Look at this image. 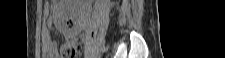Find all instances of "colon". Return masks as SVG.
<instances>
[{"label":"colon","instance_id":"5ec220e1","mask_svg":"<svg viewBox=\"0 0 225 58\" xmlns=\"http://www.w3.org/2000/svg\"><path fill=\"white\" fill-rule=\"evenodd\" d=\"M81 45L79 43H70L63 46L61 50L62 58H75L81 53Z\"/></svg>","mask_w":225,"mask_h":58}]
</instances>
